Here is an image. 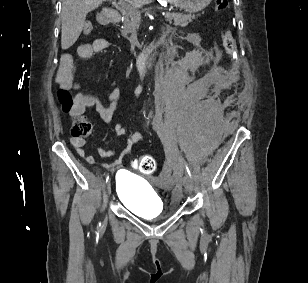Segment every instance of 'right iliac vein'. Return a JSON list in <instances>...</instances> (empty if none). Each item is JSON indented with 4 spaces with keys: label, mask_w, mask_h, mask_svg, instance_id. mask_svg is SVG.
I'll use <instances>...</instances> for the list:
<instances>
[{
    "label": "right iliac vein",
    "mask_w": 308,
    "mask_h": 283,
    "mask_svg": "<svg viewBox=\"0 0 308 283\" xmlns=\"http://www.w3.org/2000/svg\"><path fill=\"white\" fill-rule=\"evenodd\" d=\"M106 192H107L108 195L111 194V183H110V181L107 183Z\"/></svg>",
    "instance_id": "1"
}]
</instances>
